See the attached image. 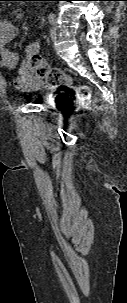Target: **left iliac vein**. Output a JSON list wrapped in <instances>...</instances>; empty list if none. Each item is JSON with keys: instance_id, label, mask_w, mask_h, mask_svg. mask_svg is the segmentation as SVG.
I'll return each instance as SVG.
<instances>
[{"instance_id": "4c4485c4", "label": "left iliac vein", "mask_w": 127, "mask_h": 303, "mask_svg": "<svg viewBox=\"0 0 127 303\" xmlns=\"http://www.w3.org/2000/svg\"><path fill=\"white\" fill-rule=\"evenodd\" d=\"M57 36V24L56 21L52 24V27L50 29V37L52 40L56 39Z\"/></svg>"}]
</instances>
